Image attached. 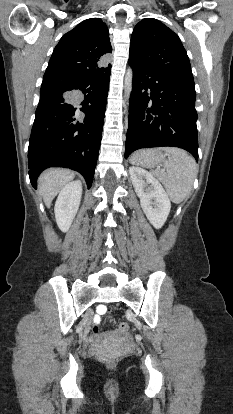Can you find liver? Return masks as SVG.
I'll list each match as a JSON object with an SVG mask.
<instances>
[{"mask_svg": "<svg viewBox=\"0 0 233 414\" xmlns=\"http://www.w3.org/2000/svg\"><path fill=\"white\" fill-rule=\"evenodd\" d=\"M75 173L69 169L51 168L44 171L39 179V193L43 201L49 207L55 196L64 186L74 178Z\"/></svg>", "mask_w": 233, "mask_h": 414, "instance_id": "obj_1", "label": "liver"}]
</instances>
